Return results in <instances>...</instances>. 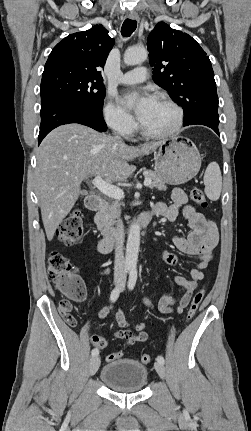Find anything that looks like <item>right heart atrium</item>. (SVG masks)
I'll return each mask as SVG.
<instances>
[{
	"label": "right heart atrium",
	"instance_id": "right-heart-atrium-1",
	"mask_svg": "<svg viewBox=\"0 0 251 431\" xmlns=\"http://www.w3.org/2000/svg\"><path fill=\"white\" fill-rule=\"evenodd\" d=\"M103 117L111 129L125 137L131 136L136 129V122L133 117L112 100L105 104Z\"/></svg>",
	"mask_w": 251,
	"mask_h": 431
}]
</instances>
